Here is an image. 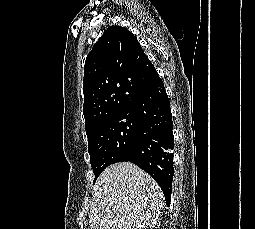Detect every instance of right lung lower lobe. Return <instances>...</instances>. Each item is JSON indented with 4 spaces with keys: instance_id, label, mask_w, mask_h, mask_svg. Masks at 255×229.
Returning a JSON list of instances; mask_svg holds the SVG:
<instances>
[{
    "instance_id": "right-lung-lower-lobe-1",
    "label": "right lung lower lobe",
    "mask_w": 255,
    "mask_h": 229,
    "mask_svg": "<svg viewBox=\"0 0 255 229\" xmlns=\"http://www.w3.org/2000/svg\"><path fill=\"white\" fill-rule=\"evenodd\" d=\"M137 118L130 161L150 174L161 187L170 205L173 165V122L163 81L154 73L138 95L124 109Z\"/></svg>"
}]
</instances>
